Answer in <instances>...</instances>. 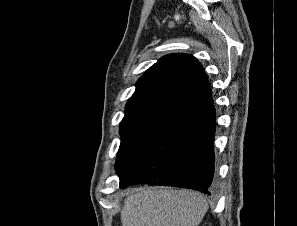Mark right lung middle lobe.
<instances>
[{
  "label": "right lung middle lobe",
  "mask_w": 297,
  "mask_h": 226,
  "mask_svg": "<svg viewBox=\"0 0 297 226\" xmlns=\"http://www.w3.org/2000/svg\"><path fill=\"white\" fill-rule=\"evenodd\" d=\"M168 120L166 117H143L120 123L121 144L115 163L120 179L137 163Z\"/></svg>",
  "instance_id": "1"
}]
</instances>
